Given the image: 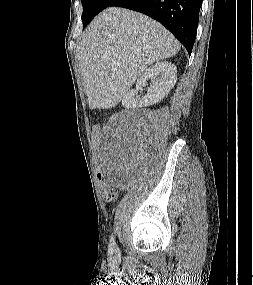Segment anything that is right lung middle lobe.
Instances as JSON below:
<instances>
[{"label": "right lung middle lobe", "mask_w": 253, "mask_h": 285, "mask_svg": "<svg viewBox=\"0 0 253 285\" xmlns=\"http://www.w3.org/2000/svg\"><path fill=\"white\" fill-rule=\"evenodd\" d=\"M114 1L115 0H81L83 5V26H86L99 12L109 7Z\"/></svg>", "instance_id": "right-lung-middle-lobe-1"}]
</instances>
